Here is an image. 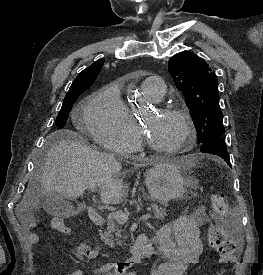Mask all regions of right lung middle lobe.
Segmentation results:
<instances>
[{
    "label": "right lung middle lobe",
    "instance_id": "obj_1",
    "mask_svg": "<svg viewBox=\"0 0 263 275\" xmlns=\"http://www.w3.org/2000/svg\"><path fill=\"white\" fill-rule=\"evenodd\" d=\"M86 89L78 90L72 93H67L64 98V103L62 104L61 110L56 119V126L58 128H63L66 125L69 112L72 109V105L76 101L79 95H81Z\"/></svg>",
    "mask_w": 263,
    "mask_h": 275
}]
</instances>
